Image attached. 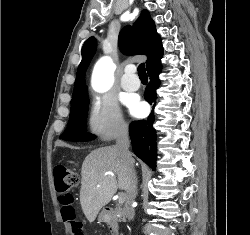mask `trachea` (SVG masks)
Instances as JSON below:
<instances>
[{"instance_id":"trachea-1","label":"trachea","mask_w":250,"mask_h":235,"mask_svg":"<svg viewBox=\"0 0 250 235\" xmlns=\"http://www.w3.org/2000/svg\"><path fill=\"white\" fill-rule=\"evenodd\" d=\"M138 75L140 78H147V73H146V69H145V64L144 63H141L139 66H138Z\"/></svg>"}]
</instances>
